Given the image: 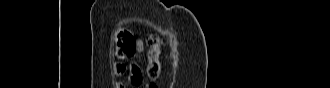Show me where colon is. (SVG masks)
Here are the masks:
<instances>
[{
	"label": "colon",
	"instance_id": "obj_1",
	"mask_svg": "<svg viewBox=\"0 0 330 88\" xmlns=\"http://www.w3.org/2000/svg\"><path fill=\"white\" fill-rule=\"evenodd\" d=\"M135 36L130 30H122L116 36L117 55L121 58H130L136 50ZM148 63L146 65V74L150 79H157L161 72V51L164 41L157 35H151L147 39ZM150 88L154 86H148Z\"/></svg>",
	"mask_w": 330,
	"mask_h": 88
}]
</instances>
